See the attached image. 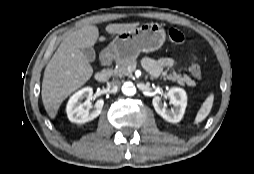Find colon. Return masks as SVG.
Wrapping results in <instances>:
<instances>
[{"label": "colon", "instance_id": "obj_1", "mask_svg": "<svg viewBox=\"0 0 254 174\" xmlns=\"http://www.w3.org/2000/svg\"><path fill=\"white\" fill-rule=\"evenodd\" d=\"M168 38L172 43L175 44H180L184 41L183 33L177 28L169 29ZM189 71L197 79H200L202 77L201 66L199 65L195 57L191 59Z\"/></svg>", "mask_w": 254, "mask_h": 174}]
</instances>
